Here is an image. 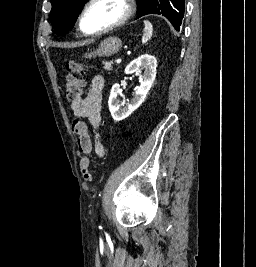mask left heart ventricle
I'll use <instances>...</instances> for the list:
<instances>
[{"label":"left heart ventricle","instance_id":"1","mask_svg":"<svg viewBox=\"0 0 256 267\" xmlns=\"http://www.w3.org/2000/svg\"><path fill=\"white\" fill-rule=\"evenodd\" d=\"M122 15L123 10L114 2H98L84 13L82 26L86 32H99L118 21Z\"/></svg>","mask_w":256,"mask_h":267}]
</instances>
